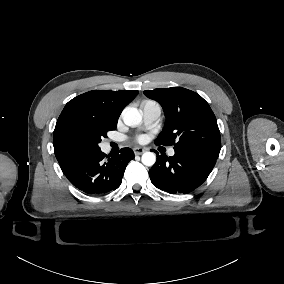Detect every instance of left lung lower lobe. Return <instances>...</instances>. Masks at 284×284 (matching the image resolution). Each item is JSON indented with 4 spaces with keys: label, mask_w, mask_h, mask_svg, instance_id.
<instances>
[{
    "label": "left lung lower lobe",
    "mask_w": 284,
    "mask_h": 284,
    "mask_svg": "<svg viewBox=\"0 0 284 284\" xmlns=\"http://www.w3.org/2000/svg\"><path fill=\"white\" fill-rule=\"evenodd\" d=\"M174 150L172 157L157 153V161L149 170V176L152 184L163 191L187 194L207 179L217 159L197 151Z\"/></svg>",
    "instance_id": "obj_1"
}]
</instances>
